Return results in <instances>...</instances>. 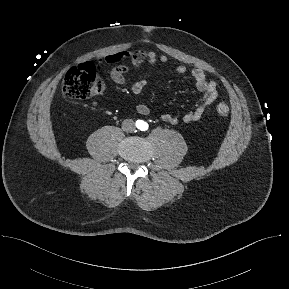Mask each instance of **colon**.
<instances>
[{
  "label": "colon",
  "instance_id": "5ec220e1",
  "mask_svg": "<svg viewBox=\"0 0 289 289\" xmlns=\"http://www.w3.org/2000/svg\"><path fill=\"white\" fill-rule=\"evenodd\" d=\"M98 66L87 62L73 67L62 81L63 94L71 99H86L103 92L105 85L98 74ZM221 116H227L229 106L221 101L216 105Z\"/></svg>",
  "mask_w": 289,
  "mask_h": 289
}]
</instances>
